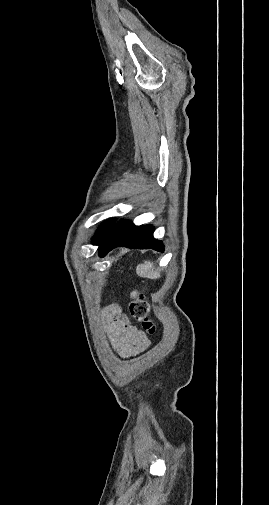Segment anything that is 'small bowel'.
<instances>
[{"label": "small bowel", "mask_w": 269, "mask_h": 505, "mask_svg": "<svg viewBox=\"0 0 269 505\" xmlns=\"http://www.w3.org/2000/svg\"><path fill=\"white\" fill-rule=\"evenodd\" d=\"M103 317L111 342L121 356H135L148 348L145 333L130 323L117 304L107 305Z\"/></svg>", "instance_id": "1"}]
</instances>
